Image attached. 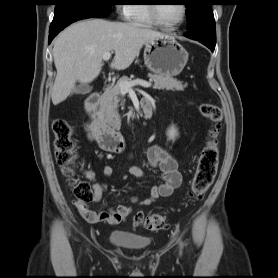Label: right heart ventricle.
Returning <instances> with one entry per match:
<instances>
[{
  "label": "right heart ventricle",
  "mask_w": 278,
  "mask_h": 278,
  "mask_svg": "<svg viewBox=\"0 0 278 278\" xmlns=\"http://www.w3.org/2000/svg\"><path fill=\"white\" fill-rule=\"evenodd\" d=\"M129 20L134 24H138L142 26L150 27L154 25V23L150 19L147 4L130 5Z\"/></svg>",
  "instance_id": "1"
}]
</instances>
